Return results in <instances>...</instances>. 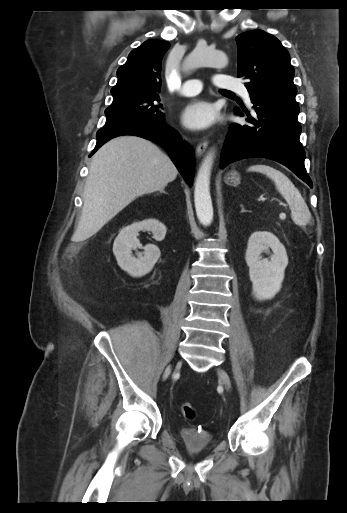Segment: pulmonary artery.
Instances as JSON below:
<instances>
[{
  "label": "pulmonary artery",
  "instance_id": "pulmonary-artery-1",
  "mask_svg": "<svg viewBox=\"0 0 347 513\" xmlns=\"http://www.w3.org/2000/svg\"><path fill=\"white\" fill-rule=\"evenodd\" d=\"M214 85L218 88L228 89L239 93L244 100L250 104V94L247 88L237 80L227 75L218 74L214 78ZM203 84L200 80H187L183 83L180 94L183 96H194L201 92Z\"/></svg>",
  "mask_w": 347,
  "mask_h": 513
}]
</instances>
